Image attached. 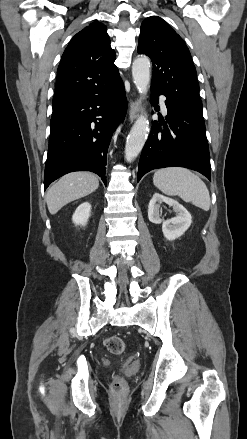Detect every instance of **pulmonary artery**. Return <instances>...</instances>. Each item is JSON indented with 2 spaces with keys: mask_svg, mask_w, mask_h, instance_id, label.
<instances>
[{
  "mask_svg": "<svg viewBox=\"0 0 247 439\" xmlns=\"http://www.w3.org/2000/svg\"><path fill=\"white\" fill-rule=\"evenodd\" d=\"M161 109H162V111H163V113H167V107H166V104H165V99H164V97H161Z\"/></svg>",
  "mask_w": 247,
  "mask_h": 439,
  "instance_id": "1",
  "label": "pulmonary artery"
}]
</instances>
